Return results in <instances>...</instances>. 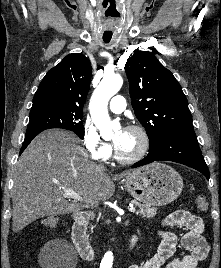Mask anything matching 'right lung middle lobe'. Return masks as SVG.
I'll return each mask as SVG.
<instances>
[{
	"label": "right lung middle lobe",
	"instance_id": "right-lung-middle-lobe-1",
	"mask_svg": "<svg viewBox=\"0 0 221 268\" xmlns=\"http://www.w3.org/2000/svg\"><path fill=\"white\" fill-rule=\"evenodd\" d=\"M82 118L83 112L73 110L49 109L30 112L27 133L50 128H62L76 133L80 138H84Z\"/></svg>",
	"mask_w": 221,
	"mask_h": 268
}]
</instances>
